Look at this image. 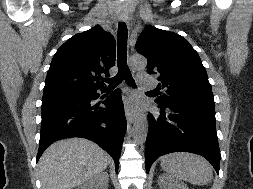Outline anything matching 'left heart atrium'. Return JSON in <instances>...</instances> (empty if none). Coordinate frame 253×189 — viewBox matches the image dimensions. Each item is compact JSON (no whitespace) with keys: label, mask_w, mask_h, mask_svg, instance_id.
Wrapping results in <instances>:
<instances>
[{"label":"left heart atrium","mask_w":253,"mask_h":189,"mask_svg":"<svg viewBox=\"0 0 253 189\" xmlns=\"http://www.w3.org/2000/svg\"><path fill=\"white\" fill-rule=\"evenodd\" d=\"M134 107V105L133 104H129V108H133Z\"/></svg>","instance_id":"left-heart-atrium-1"}]
</instances>
